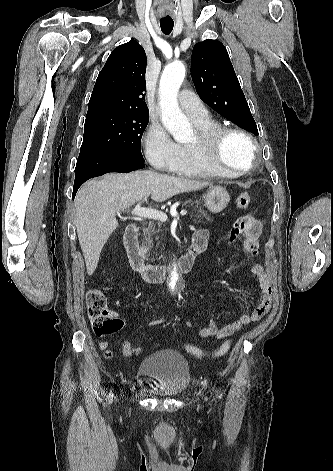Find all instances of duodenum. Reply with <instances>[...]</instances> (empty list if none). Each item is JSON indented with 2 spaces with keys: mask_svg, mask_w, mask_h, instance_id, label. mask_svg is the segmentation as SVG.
Masks as SVG:
<instances>
[{
  "mask_svg": "<svg viewBox=\"0 0 333 471\" xmlns=\"http://www.w3.org/2000/svg\"><path fill=\"white\" fill-rule=\"evenodd\" d=\"M139 227L131 224L127 227L124 235V244L130 266L138 271L148 283H159L163 281L172 268L171 266L154 265L145 262L144 255L138 242ZM205 250V245L200 242H192L186 254L177 260L174 268L180 273H187L195 265L197 256Z\"/></svg>",
  "mask_w": 333,
  "mask_h": 471,
  "instance_id": "duodenum-1",
  "label": "duodenum"
}]
</instances>
